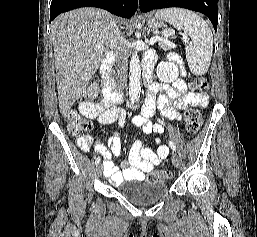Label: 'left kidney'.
Returning a JSON list of instances; mask_svg holds the SVG:
<instances>
[{"label":"left kidney","instance_id":"obj_1","mask_svg":"<svg viewBox=\"0 0 257 237\" xmlns=\"http://www.w3.org/2000/svg\"><path fill=\"white\" fill-rule=\"evenodd\" d=\"M156 74L160 81L171 83L177 79L179 70L175 63L162 61L157 66Z\"/></svg>","mask_w":257,"mask_h":237}]
</instances>
